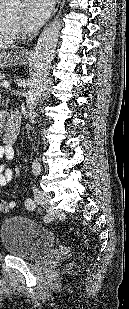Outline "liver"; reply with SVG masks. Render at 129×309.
Segmentation results:
<instances>
[{
	"mask_svg": "<svg viewBox=\"0 0 129 309\" xmlns=\"http://www.w3.org/2000/svg\"><path fill=\"white\" fill-rule=\"evenodd\" d=\"M10 46L6 45V44H2L0 43V50H5L7 48H9Z\"/></svg>",
	"mask_w": 129,
	"mask_h": 309,
	"instance_id": "liver-1",
	"label": "liver"
}]
</instances>
